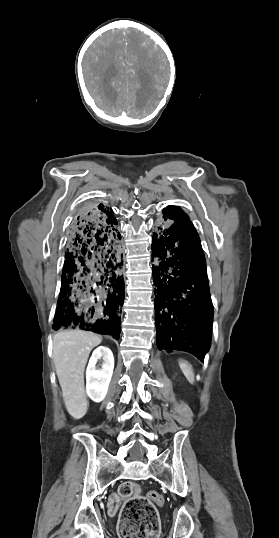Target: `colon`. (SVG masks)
Wrapping results in <instances>:
<instances>
[{"label": "colon", "mask_w": 279, "mask_h": 538, "mask_svg": "<svg viewBox=\"0 0 279 538\" xmlns=\"http://www.w3.org/2000/svg\"><path fill=\"white\" fill-rule=\"evenodd\" d=\"M119 494L127 498L118 524L120 538H156L160 523L154 503L163 504V497L156 491L143 496L133 482L121 484Z\"/></svg>", "instance_id": "colon-1"}]
</instances>
